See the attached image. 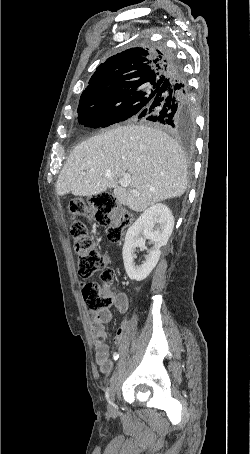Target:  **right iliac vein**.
<instances>
[{
    "label": "right iliac vein",
    "instance_id": "right-iliac-vein-1",
    "mask_svg": "<svg viewBox=\"0 0 250 454\" xmlns=\"http://www.w3.org/2000/svg\"><path fill=\"white\" fill-rule=\"evenodd\" d=\"M119 377H120V365L117 366L112 381L110 383V387L108 390V411L111 414L116 413V406H115V395L119 385Z\"/></svg>",
    "mask_w": 250,
    "mask_h": 454
}]
</instances>
